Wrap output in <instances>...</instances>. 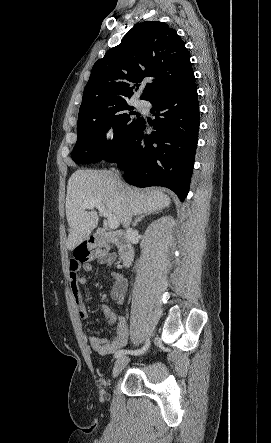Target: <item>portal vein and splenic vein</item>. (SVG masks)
I'll return each instance as SVG.
<instances>
[{
  "label": "portal vein and splenic vein",
  "mask_w": 271,
  "mask_h": 443,
  "mask_svg": "<svg viewBox=\"0 0 271 443\" xmlns=\"http://www.w3.org/2000/svg\"><path fill=\"white\" fill-rule=\"evenodd\" d=\"M84 208H87V210H93V208H97L99 214H101V216H104V218H107V225H109V227H112V229L118 227L119 222L117 218H115L113 214H109V212H107L102 202H87V204H84Z\"/></svg>",
  "instance_id": "1"
}]
</instances>
